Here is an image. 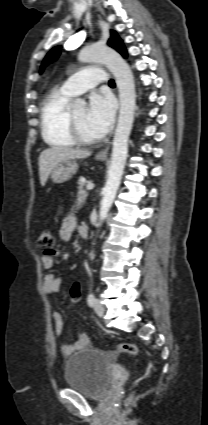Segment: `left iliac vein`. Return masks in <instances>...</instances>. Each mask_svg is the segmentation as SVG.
<instances>
[{"mask_svg":"<svg viewBox=\"0 0 208 425\" xmlns=\"http://www.w3.org/2000/svg\"><path fill=\"white\" fill-rule=\"evenodd\" d=\"M94 310L99 316H103L105 308L99 299H96L94 302Z\"/></svg>","mask_w":208,"mask_h":425,"instance_id":"obj_1","label":"left iliac vein"}]
</instances>
